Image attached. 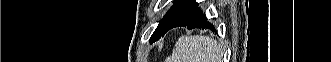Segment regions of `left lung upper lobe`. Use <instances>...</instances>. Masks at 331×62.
Segmentation results:
<instances>
[{"label":"left lung upper lobe","instance_id":"5c2ea615","mask_svg":"<svg viewBox=\"0 0 331 62\" xmlns=\"http://www.w3.org/2000/svg\"><path fill=\"white\" fill-rule=\"evenodd\" d=\"M186 1L187 0H176L175 4L170 8V10L163 17V19L159 22V25L157 26L156 30L153 33V35H155L157 39L163 36V31L166 23L186 3Z\"/></svg>","mask_w":331,"mask_h":62}]
</instances>
